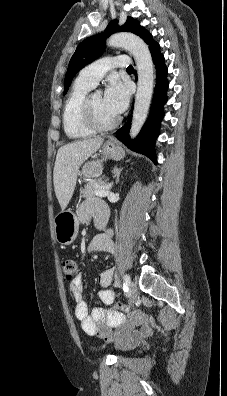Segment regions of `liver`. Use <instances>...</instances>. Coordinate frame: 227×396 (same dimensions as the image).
<instances>
[{"label": "liver", "instance_id": "obj_1", "mask_svg": "<svg viewBox=\"0 0 227 396\" xmlns=\"http://www.w3.org/2000/svg\"><path fill=\"white\" fill-rule=\"evenodd\" d=\"M103 141L102 137L90 138L71 142L59 148L53 170V183L62 210L72 198L80 166L101 147Z\"/></svg>", "mask_w": 227, "mask_h": 396}]
</instances>
